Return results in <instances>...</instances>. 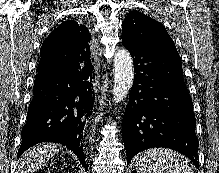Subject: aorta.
Returning a JSON list of instances; mask_svg holds the SVG:
<instances>
[{"label":"aorta","instance_id":"aorta-1","mask_svg":"<svg viewBox=\"0 0 219 173\" xmlns=\"http://www.w3.org/2000/svg\"><path fill=\"white\" fill-rule=\"evenodd\" d=\"M113 101H123L132 87L134 80L133 60L126 49H119L114 57Z\"/></svg>","mask_w":219,"mask_h":173}]
</instances>
